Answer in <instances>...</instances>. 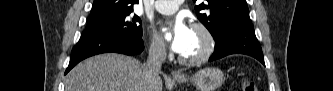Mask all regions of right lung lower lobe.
<instances>
[{
    "label": "right lung lower lobe",
    "mask_w": 333,
    "mask_h": 91,
    "mask_svg": "<svg viewBox=\"0 0 333 91\" xmlns=\"http://www.w3.org/2000/svg\"><path fill=\"white\" fill-rule=\"evenodd\" d=\"M143 49L142 38H132L121 33H83L72 50L65 74L77 63L93 55L108 52L136 55Z\"/></svg>",
    "instance_id": "1"
}]
</instances>
